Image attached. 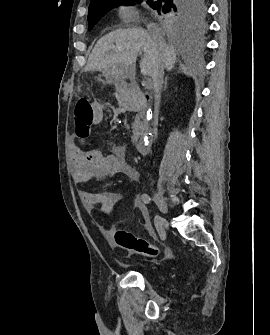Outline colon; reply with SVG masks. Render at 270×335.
<instances>
[{"instance_id":"5ec220e1","label":"colon","mask_w":270,"mask_h":335,"mask_svg":"<svg viewBox=\"0 0 270 335\" xmlns=\"http://www.w3.org/2000/svg\"><path fill=\"white\" fill-rule=\"evenodd\" d=\"M75 111V133L78 136L89 137L93 120V109L89 101L79 100ZM115 241L117 246L125 251L156 258L160 255L159 248L147 239L140 238L127 230L116 231Z\"/></svg>"}]
</instances>
